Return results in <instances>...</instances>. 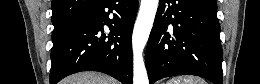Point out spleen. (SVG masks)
Instances as JSON below:
<instances>
[{
    "mask_svg": "<svg viewBox=\"0 0 260 84\" xmlns=\"http://www.w3.org/2000/svg\"><path fill=\"white\" fill-rule=\"evenodd\" d=\"M167 84H207L204 79L197 76L175 77L167 81Z\"/></svg>",
    "mask_w": 260,
    "mask_h": 84,
    "instance_id": "3e777b00",
    "label": "spleen"
}]
</instances>
